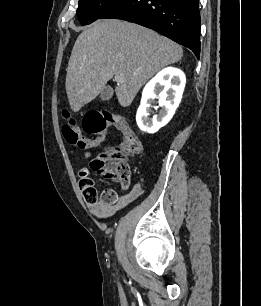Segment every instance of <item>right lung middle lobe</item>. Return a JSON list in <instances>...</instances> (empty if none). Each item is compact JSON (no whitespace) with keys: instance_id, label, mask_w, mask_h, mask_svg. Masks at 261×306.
Here are the masks:
<instances>
[{"instance_id":"1","label":"right lung middle lobe","mask_w":261,"mask_h":306,"mask_svg":"<svg viewBox=\"0 0 261 306\" xmlns=\"http://www.w3.org/2000/svg\"><path fill=\"white\" fill-rule=\"evenodd\" d=\"M117 0H79L77 16L82 25L96 21Z\"/></svg>"}]
</instances>
